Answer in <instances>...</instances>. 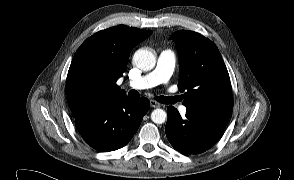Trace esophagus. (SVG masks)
I'll list each match as a JSON object with an SVG mask.
<instances>
[{
  "label": "esophagus",
  "instance_id": "34e87169",
  "mask_svg": "<svg viewBox=\"0 0 294 180\" xmlns=\"http://www.w3.org/2000/svg\"><path fill=\"white\" fill-rule=\"evenodd\" d=\"M150 106H151L152 108H158V107H160L161 105H160V103H158L157 101H155V100H151V101H150Z\"/></svg>",
  "mask_w": 294,
  "mask_h": 180
}]
</instances>
